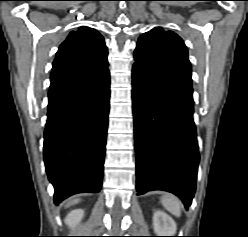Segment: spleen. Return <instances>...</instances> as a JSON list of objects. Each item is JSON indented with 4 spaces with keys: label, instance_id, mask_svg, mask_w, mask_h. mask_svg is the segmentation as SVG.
I'll use <instances>...</instances> for the list:
<instances>
[{
    "label": "spleen",
    "instance_id": "3e777b00",
    "mask_svg": "<svg viewBox=\"0 0 248 237\" xmlns=\"http://www.w3.org/2000/svg\"><path fill=\"white\" fill-rule=\"evenodd\" d=\"M163 206L173 215L179 217L181 214V202L173 195H165L161 198Z\"/></svg>",
    "mask_w": 248,
    "mask_h": 237
}]
</instances>
